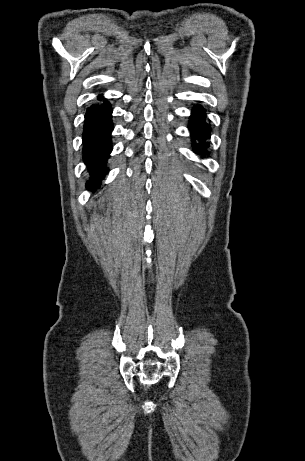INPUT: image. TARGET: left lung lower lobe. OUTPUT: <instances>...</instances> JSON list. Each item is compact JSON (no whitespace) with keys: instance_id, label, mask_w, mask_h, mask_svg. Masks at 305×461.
I'll return each instance as SVG.
<instances>
[{"instance_id":"obj_1","label":"left lung lower lobe","mask_w":305,"mask_h":461,"mask_svg":"<svg viewBox=\"0 0 305 461\" xmlns=\"http://www.w3.org/2000/svg\"><path fill=\"white\" fill-rule=\"evenodd\" d=\"M189 128L192 133V137L194 139H198L200 143L194 146L196 152H203L205 154L207 152L208 143L206 139L210 137V127L207 125L205 121V113L204 109L201 107H197L194 109L192 116L190 117V125Z\"/></svg>"}]
</instances>
